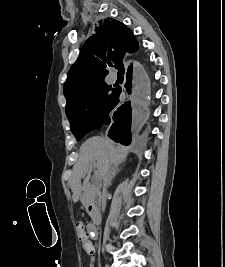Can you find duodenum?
<instances>
[{"label": "duodenum", "instance_id": "410a0bca", "mask_svg": "<svg viewBox=\"0 0 225 267\" xmlns=\"http://www.w3.org/2000/svg\"><path fill=\"white\" fill-rule=\"evenodd\" d=\"M87 208L89 210L92 221L94 223H98L101 219V213L98 208L97 202L95 200L87 202Z\"/></svg>", "mask_w": 225, "mask_h": 267}]
</instances>
